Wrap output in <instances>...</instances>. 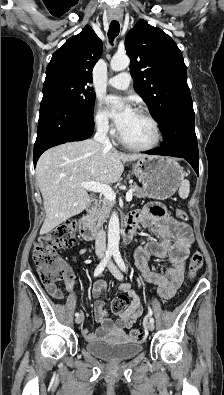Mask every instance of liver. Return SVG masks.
Returning <instances> with one entry per match:
<instances>
[{
	"instance_id": "1",
	"label": "liver",
	"mask_w": 224,
	"mask_h": 395,
	"mask_svg": "<svg viewBox=\"0 0 224 395\" xmlns=\"http://www.w3.org/2000/svg\"><path fill=\"white\" fill-rule=\"evenodd\" d=\"M143 157L107 149L93 139L66 143L44 152L36 166L46 213L40 234L50 232L88 206L91 198L81 183L111 185L121 177L124 162Z\"/></svg>"
}]
</instances>
